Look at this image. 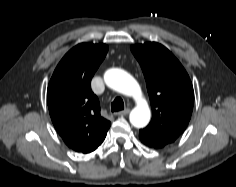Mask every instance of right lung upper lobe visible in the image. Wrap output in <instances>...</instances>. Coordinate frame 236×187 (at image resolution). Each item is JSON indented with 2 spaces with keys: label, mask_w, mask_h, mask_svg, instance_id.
Listing matches in <instances>:
<instances>
[{
  "label": "right lung upper lobe",
  "mask_w": 236,
  "mask_h": 187,
  "mask_svg": "<svg viewBox=\"0 0 236 187\" xmlns=\"http://www.w3.org/2000/svg\"><path fill=\"white\" fill-rule=\"evenodd\" d=\"M107 51L105 44H78L62 58L49 82L52 122L66 145L77 152L96 150L111 125L100 115L99 100L90 86Z\"/></svg>",
  "instance_id": "1"
}]
</instances>
